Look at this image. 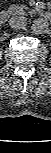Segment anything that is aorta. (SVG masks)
I'll use <instances>...</instances> for the list:
<instances>
[{
    "label": "aorta",
    "instance_id": "obj_1",
    "mask_svg": "<svg viewBox=\"0 0 51 153\" xmlns=\"http://www.w3.org/2000/svg\"><path fill=\"white\" fill-rule=\"evenodd\" d=\"M48 29H49L48 21L42 18L35 19L31 25V30L36 35L44 34L48 31Z\"/></svg>",
    "mask_w": 51,
    "mask_h": 153
}]
</instances>
